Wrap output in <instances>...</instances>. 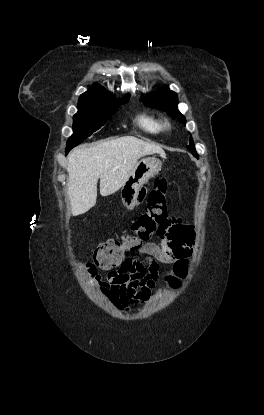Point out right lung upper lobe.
I'll return each mask as SVG.
<instances>
[{"label":"right lung upper lobe","mask_w":264,"mask_h":415,"mask_svg":"<svg viewBox=\"0 0 264 415\" xmlns=\"http://www.w3.org/2000/svg\"><path fill=\"white\" fill-rule=\"evenodd\" d=\"M108 97H114L112 93L107 91L105 88L95 85L92 89L87 90L85 93H83L79 99H89V98H108Z\"/></svg>","instance_id":"right-lung-upper-lobe-1"}]
</instances>
